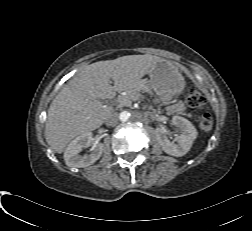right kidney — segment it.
Wrapping results in <instances>:
<instances>
[{
  "label": "right kidney",
  "mask_w": 252,
  "mask_h": 231,
  "mask_svg": "<svg viewBox=\"0 0 252 231\" xmlns=\"http://www.w3.org/2000/svg\"><path fill=\"white\" fill-rule=\"evenodd\" d=\"M92 140V133H84L75 138L64 152V161L69 167L83 168L95 163L102 155L104 145L98 143L90 149V154L79 155L80 151L88 147Z\"/></svg>",
  "instance_id": "ca27d5eb"
}]
</instances>
